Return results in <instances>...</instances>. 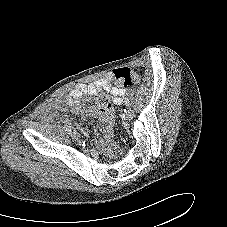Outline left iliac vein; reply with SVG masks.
<instances>
[{
    "label": "left iliac vein",
    "mask_w": 227,
    "mask_h": 227,
    "mask_svg": "<svg viewBox=\"0 0 227 227\" xmlns=\"http://www.w3.org/2000/svg\"><path fill=\"white\" fill-rule=\"evenodd\" d=\"M134 117V111L131 108H127L126 113H125V119L126 120H131Z\"/></svg>",
    "instance_id": "4c4485c4"
}]
</instances>
